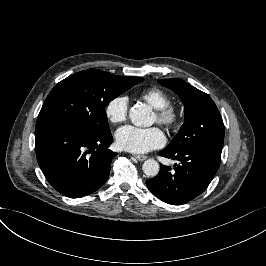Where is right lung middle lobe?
Returning <instances> with one entry per match:
<instances>
[{
  "instance_id": "1",
  "label": "right lung middle lobe",
  "mask_w": 266,
  "mask_h": 266,
  "mask_svg": "<svg viewBox=\"0 0 266 266\" xmlns=\"http://www.w3.org/2000/svg\"><path fill=\"white\" fill-rule=\"evenodd\" d=\"M142 81L139 77L116 76L97 69L65 78L44 101L35 135L56 125L70 126L91 135L110 133L105 107Z\"/></svg>"
}]
</instances>
